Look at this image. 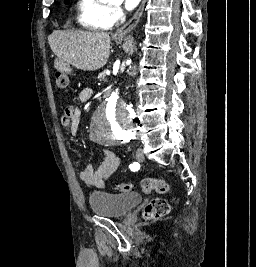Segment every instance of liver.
<instances>
[{
    "instance_id": "1",
    "label": "liver",
    "mask_w": 256,
    "mask_h": 267,
    "mask_svg": "<svg viewBox=\"0 0 256 267\" xmlns=\"http://www.w3.org/2000/svg\"><path fill=\"white\" fill-rule=\"evenodd\" d=\"M113 38L117 40V34ZM111 38L106 32L54 30L48 36L49 46L59 62L78 70H99L108 62Z\"/></svg>"
}]
</instances>
